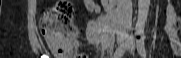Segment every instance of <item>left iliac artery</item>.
Returning <instances> with one entry per match:
<instances>
[{
    "instance_id": "obj_1",
    "label": "left iliac artery",
    "mask_w": 181,
    "mask_h": 58,
    "mask_svg": "<svg viewBox=\"0 0 181 58\" xmlns=\"http://www.w3.org/2000/svg\"><path fill=\"white\" fill-rule=\"evenodd\" d=\"M144 34L137 40V50L142 57H146L145 45H144Z\"/></svg>"
}]
</instances>
